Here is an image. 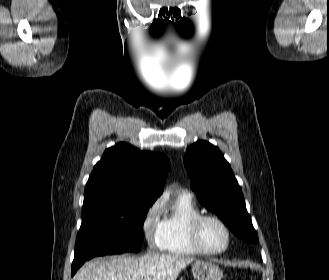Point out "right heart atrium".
<instances>
[{"label":"right heart atrium","instance_id":"right-heart-atrium-1","mask_svg":"<svg viewBox=\"0 0 329 280\" xmlns=\"http://www.w3.org/2000/svg\"><path fill=\"white\" fill-rule=\"evenodd\" d=\"M163 208L164 198L159 197L147 207L141 221L143 236L151 248H160L162 242L164 234Z\"/></svg>","mask_w":329,"mask_h":280}]
</instances>
